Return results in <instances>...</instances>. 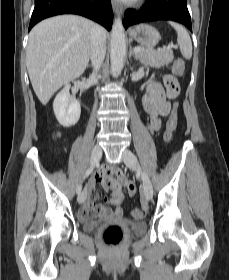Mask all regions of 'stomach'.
Segmentation results:
<instances>
[{
	"mask_svg": "<svg viewBox=\"0 0 229 280\" xmlns=\"http://www.w3.org/2000/svg\"><path fill=\"white\" fill-rule=\"evenodd\" d=\"M130 36L146 49H153L161 39L160 33L148 24H139L133 27Z\"/></svg>",
	"mask_w": 229,
	"mask_h": 280,
	"instance_id": "1",
	"label": "stomach"
}]
</instances>
